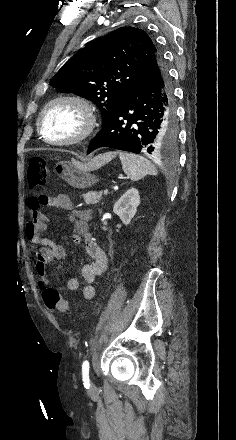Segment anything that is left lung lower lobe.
Wrapping results in <instances>:
<instances>
[{"label": "left lung lower lobe", "instance_id": "1", "mask_svg": "<svg viewBox=\"0 0 236 440\" xmlns=\"http://www.w3.org/2000/svg\"><path fill=\"white\" fill-rule=\"evenodd\" d=\"M172 83L162 57L150 64L134 88L119 102L111 118L88 147H111L151 154L176 136Z\"/></svg>", "mask_w": 236, "mask_h": 440}]
</instances>
